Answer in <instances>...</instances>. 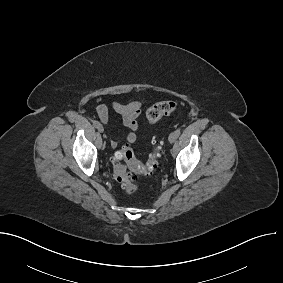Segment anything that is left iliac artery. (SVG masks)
<instances>
[{"mask_svg":"<svg viewBox=\"0 0 283 283\" xmlns=\"http://www.w3.org/2000/svg\"><path fill=\"white\" fill-rule=\"evenodd\" d=\"M180 133H181V130H180V129H177V130L175 131L176 137H179Z\"/></svg>","mask_w":283,"mask_h":283,"instance_id":"obj_1","label":"left iliac artery"}]
</instances>
